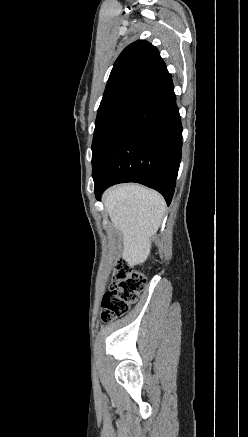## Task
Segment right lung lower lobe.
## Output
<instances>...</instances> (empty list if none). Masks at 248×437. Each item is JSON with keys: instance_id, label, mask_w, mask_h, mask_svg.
Listing matches in <instances>:
<instances>
[{"instance_id": "obj_1", "label": "right lung lower lobe", "mask_w": 248, "mask_h": 437, "mask_svg": "<svg viewBox=\"0 0 248 437\" xmlns=\"http://www.w3.org/2000/svg\"><path fill=\"white\" fill-rule=\"evenodd\" d=\"M181 149L182 124L165 69L139 93L94 164L96 198L113 184L137 182L160 192L169 205Z\"/></svg>"}]
</instances>
